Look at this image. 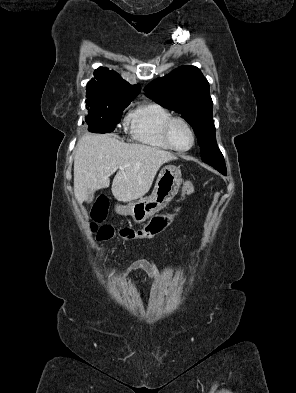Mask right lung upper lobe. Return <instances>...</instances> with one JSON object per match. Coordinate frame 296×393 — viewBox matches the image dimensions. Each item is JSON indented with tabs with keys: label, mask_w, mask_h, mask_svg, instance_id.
Here are the masks:
<instances>
[{
	"label": "right lung upper lobe",
	"mask_w": 296,
	"mask_h": 393,
	"mask_svg": "<svg viewBox=\"0 0 296 393\" xmlns=\"http://www.w3.org/2000/svg\"><path fill=\"white\" fill-rule=\"evenodd\" d=\"M139 84L130 85L116 72L100 67L95 70L86 87L87 102L107 100H133L140 92Z\"/></svg>",
	"instance_id": "obj_1"
}]
</instances>
